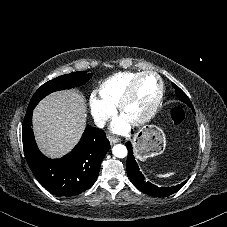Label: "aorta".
Returning <instances> with one entry per match:
<instances>
[{"label":"aorta","mask_w":227,"mask_h":227,"mask_svg":"<svg viewBox=\"0 0 227 227\" xmlns=\"http://www.w3.org/2000/svg\"><path fill=\"white\" fill-rule=\"evenodd\" d=\"M112 153L117 158H125L127 156V148L122 144H117L112 148Z\"/></svg>","instance_id":"1"}]
</instances>
